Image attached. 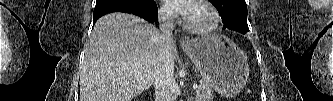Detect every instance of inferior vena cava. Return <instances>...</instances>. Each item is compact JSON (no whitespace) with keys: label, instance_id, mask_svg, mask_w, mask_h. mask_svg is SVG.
<instances>
[{"label":"inferior vena cava","instance_id":"1","mask_svg":"<svg viewBox=\"0 0 333 101\" xmlns=\"http://www.w3.org/2000/svg\"><path fill=\"white\" fill-rule=\"evenodd\" d=\"M158 22L161 35L158 45L159 63L154 77L155 101H172L171 86L173 83L174 66L172 57L174 20L172 13L167 9L160 10L158 13Z\"/></svg>","mask_w":333,"mask_h":101}]
</instances>
